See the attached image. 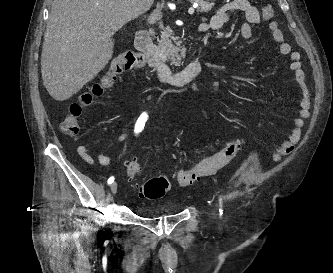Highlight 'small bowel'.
Returning a JSON list of instances; mask_svg holds the SVG:
<instances>
[{
	"label": "small bowel",
	"instance_id": "c3829d8e",
	"mask_svg": "<svg viewBox=\"0 0 333 273\" xmlns=\"http://www.w3.org/2000/svg\"><path fill=\"white\" fill-rule=\"evenodd\" d=\"M234 11L243 13L245 21L240 25V36L248 40L252 37V26L261 22L263 10L249 4L247 0H230L229 2L221 5L215 14L206 22L199 26L200 31L216 30L223 28L230 20V15ZM270 32L273 39L279 44V50L282 54L290 56L291 64L290 69L295 75L297 87L299 90V111L297 117L293 120L292 129L288 138L276 150L273 160L277 161L283 156L288 155L293 151L295 145L301 138V130L304 121L309 117L310 107V92L306 84L305 75L300 62V54L291 49L290 44L284 39L283 33L276 22H271L269 25ZM79 156L87 163H92L93 159L88 152L86 145H80L77 148ZM97 160L102 166L111 165V159L104 153L97 155Z\"/></svg>",
	"mask_w": 333,
	"mask_h": 273
}]
</instances>
